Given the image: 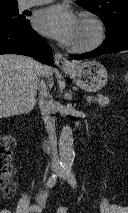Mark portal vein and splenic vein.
Returning <instances> with one entry per match:
<instances>
[{"mask_svg":"<svg viewBox=\"0 0 128 213\" xmlns=\"http://www.w3.org/2000/svg\"><path fill=\"white\" fill-rule=\"evenodd\" d=\"M86 99H87L88 101H90V100H91V97H87Z\"/></svg>","mask_w":128,"mask_h":213,"instance_id":"18ae733b","label":"portal vein and splenic vein"}]
</instances>
